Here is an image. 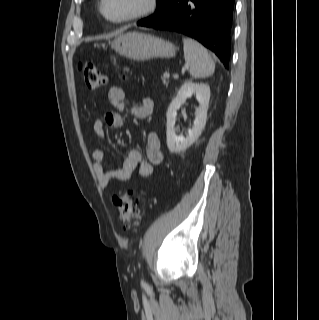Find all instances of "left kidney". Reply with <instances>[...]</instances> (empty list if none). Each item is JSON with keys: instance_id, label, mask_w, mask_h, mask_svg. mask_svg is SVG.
<instances>
[{"instance_id": "5707ae66", "label": "left kidney", "mask_w": 319, "mask_h": 320, "mask_svg": "<svg viewBox=\"0 0 319 320\" xmlns=\"http://www.w3.org/2000/svg\"><path fill=\"white\" fill-rule=\"evenodd\" d=\"M192 95L196 96L199 107L195 111L193 128L188 131L186 137L176 135L175 123L177 111ZM210 100V87L204 83L185 82L172 100L166 113L167 117V146L171 153H180L191 146L201 135L206 125L207 110Z\"/></svg>"}]
</instances>
